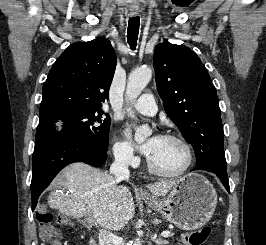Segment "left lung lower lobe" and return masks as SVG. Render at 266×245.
Masks as SVG:
<instances>
[{"mask_svg": "<svg viewBox=\"0 0 266 245\" xmlns=\"http://www.w3.org/2000/svg\"><path fill=\"white\" fill-rule=\"evenodd\" d=\"M194 170H205V171H209V172H212V173L216 174L217 177L221 180V182L224 185V187L226 188V190L230 193L229 181H228L227 174L216 173V172H213V171H210V170H207V169H202V168H194V169H192V171H194Z\"/></svg>", "mask_w": 266, "mask_h": 245, "instance_id": "obj_1", "label": "left lung lower lobe"}]
</instances>
